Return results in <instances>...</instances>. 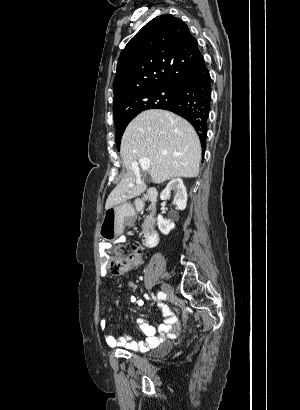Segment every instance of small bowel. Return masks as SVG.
<instances>
[{"instance_id":"1","label":"small bowel","mask_w":300,"mask_h":410,"mask_svg":"<svg viewBox=\"0 0 300 410\" xmlns=\"http://www.w3.org/2000/svg\"><path fill=\"white\" fill-rule=\"evenodd\" d=\"M101 276L105 278L107 277V273L102 272ZM131 300L132 302H138L136 297H132ZM120 304L123 306V300H120ZM155 308L162 312L164 318L163 323L159 326L158 333H156L155 327L151 325L148 320L141 319L138 324L140 330L146 336L144 341L134 340L127 334H123L121 336L106 334L104 335L106 344L110 347H123L134 351H147L156 347L160 342L169 336L177 335L181 328L170 307L166 304L158 303L155 305ZM108 326V320L101 319L99 321V327L101 330L105 331Z\"/></svg>"}]
</instances>
